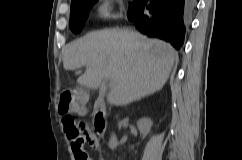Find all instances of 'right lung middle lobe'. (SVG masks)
<instances>
[{
  "label": "right lung middle lobe",
  "mask_w": 242,
  "mask_h": 160,
  "mask_svg": "<svg viewBox=\"0 0 242 160\" xmlns=\"http://www.w3.org/2000/svg\"><path fill=\"white\" fill-rule=\"evenodd\" d=\"M96 1L97 0H78L71 3L70 28L73 33L76 34L81 32L89 9Z\"/></svg>",
  "instance_id": "right-lung-middle-lobe-1"
}]
</instances>
